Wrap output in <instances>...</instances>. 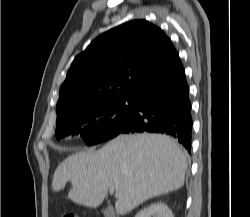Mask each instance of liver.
<instances>
[{
    "label": "liver",
    "instance_id": "liver-1",
    "mask_svg": "<svg viewBox=\"0 0 250 217\" xmlns=\"http://www.w3.org/2000/svg\"><path fill=\"white\" fill-rule=\"evenodd\" d=\"M187 169L186 156L166 135H119L97 151L76 152L56 168L52 190L68 181V198L97 208L108 189H115L116 213L125 215L143 202L181 188Z\"/></svg>",
    "mask_w": 250,
    "mask_h": 217
}]
</instances>
